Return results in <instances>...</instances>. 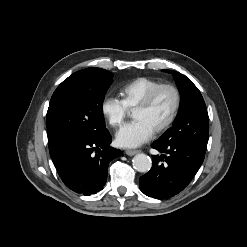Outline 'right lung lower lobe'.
Listing matches in <instances>:
<instances>
[{
  "label": "right lung lower lobe",
  "mask_w": 247,
  "mask_h": 247,
  "mask_svg": "<svg viewBox=\"0 0 247 247\" xmlns=\"http://www.w3.org/2000/svg\"><path fill=\"white\" fill-rule=\"evenodd\" d=\"M111 139L106 130L96 137L76 138L49 149L54 166L67 187L84 195L103 189L109 162L123 155L110 146Z\"/></svg>",
  "instance_id": "98d812e1"
}]
</instances>
